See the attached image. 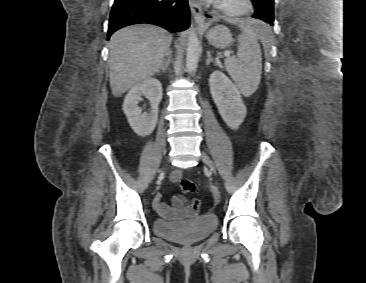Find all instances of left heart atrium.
Masks as SVG:
<instances>
[{
  "mask_svg": "<svg viewBox=\"0 0 366 283\" xmlns=\"http://www.w3.org/2000/svg\"><path fill=\"white\" fill-rule=\"evenodd\" d=\"M208 1H211V2H215V3H217V2H219V1H221V0H208Z\"/></svg>",
  "mask_w": 366,
  "mask_h": 283,
  "instance_id": "1",
  "label": "left heart atrium"
}]
</instances>
